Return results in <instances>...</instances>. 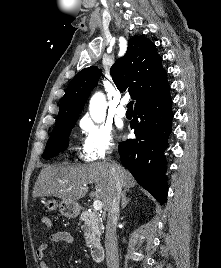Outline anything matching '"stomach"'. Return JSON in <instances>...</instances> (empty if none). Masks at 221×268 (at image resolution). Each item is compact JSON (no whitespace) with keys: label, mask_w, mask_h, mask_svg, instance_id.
<instances>
[{"label":"stomach","mask_w":221,"mask_h":268,"mask_svg":"<svg viewBox=\"0 0 221 268\" xmlns=\"http://www.w3.org/2000/svg\"><path fill=\"white\" fill-rule=\"evenodd\" d=\"M44 206L47 211H53L58 208L61 215L67 218L77 217L81 210L80 205L76 201L67 200H61L59 202L54 199L47 200L44 202Z\"/></svg>","instance_id":"obj_1"}]
</instances>
